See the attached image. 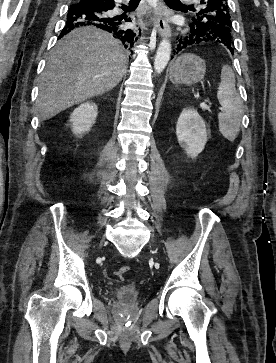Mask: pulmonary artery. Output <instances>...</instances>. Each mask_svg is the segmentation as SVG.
I'll return each instance as SVG.
<instances>
[{
  "instance_id": "1",
  "label": "pulmonary artery",
  "mask_w": 276,
  "mask_h": 363,
  "mask_svg": "<svg viewBox=\"0 0 276 363\" xmlns=\"http://www.w3.org/2000/svg\"><path fill=\"white\" fill-rule=\"evenodd\" d=\"M182 1H185V2H193L194 0H182Z\"/></svg>"
}]
</instances>
